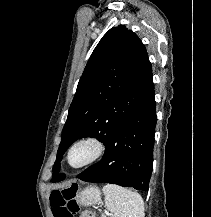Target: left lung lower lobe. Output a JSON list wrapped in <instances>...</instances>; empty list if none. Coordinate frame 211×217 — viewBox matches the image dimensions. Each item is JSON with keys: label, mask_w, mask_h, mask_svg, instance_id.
I'll use <instances>...</instances> for the list:
<instances>
[{"label": "left lung lower lobe", "mask_w": 211, "mask_h": 217, "mask_svg": "<svg viewBox=\"0 0 211 217\" xmlns=\"http://www.w3.org/2000/svg\"><path fill=\"white\" fill-rule=\"evenodd\" d=\"M154 91L112 131L102 160L77 175L86 182H106L147 191L153 170L157 121Z\"/></svg>", "instance_id": "obj_1"}]
</instances>
